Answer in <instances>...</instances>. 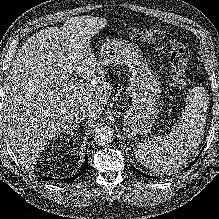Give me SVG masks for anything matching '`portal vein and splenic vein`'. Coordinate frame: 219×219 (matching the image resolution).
I'll use <instances>...</instances> for the list:
<instances>
[{
  "instance_id": "obj_1",
  "label": "portal vein and splenic vein",
  "mask_w": 219,
  "mask_h": 219,
  "mask_svg": "<svg viewBox=\"0 0 219 219\" xmlns=\"http://www.w3.org/2000/svg\"><path fill=\"white\" fill-rule=\"evenodd\" d=\"M74 81H76V78H73L70 82V86L73 87Z\"/></svg>"
}]
</instances>
